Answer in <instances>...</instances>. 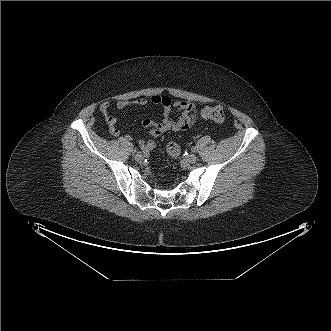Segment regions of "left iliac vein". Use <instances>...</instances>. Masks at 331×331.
Listing matches in <instances>:
<instances>
[{
    "label": "left iliac vein",
    "mask_w": 331,
    "mask_h": 331,
    "mask_svg": "<svg viewBox=\"0 0 331 331\" xmlns=\"http://www.w3.org/2000/svg\"><path fill=\"white\" fill-rule=\"evenodd\" d=\"M187 161H189L190 163H195L197 161V157L196 155L194 154H189L187 157H186Z\"/></svg>",
    "instance_id": "1"
}]
</instances>
